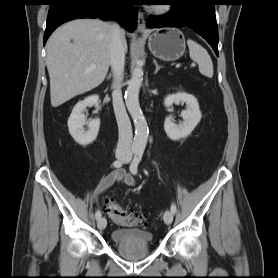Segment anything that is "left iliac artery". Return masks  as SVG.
Instances as JSON below:
<instances>
[{
	"label": "left iliac artery",
	"mask_w": 278,
	"mask_h": 278,
	"mask_svg": "<svg viewBox=\"0 0 278 278\" xmlns=\"http://www.w3.org/2000/svg\"><path fill=\"white\" fill-rule=\"evenodd\" d=\"M143 149H139L136 151L135 153V157L130 165V171L132 174H137V168H138V164L140 163L142 156H143ZM171 211L175 214L177 211L176 205L175 203H172L171 205Z\"/></svg>",
	"instance_id": "1"
}]
</instances>
